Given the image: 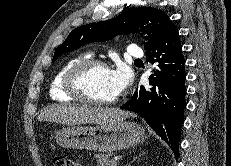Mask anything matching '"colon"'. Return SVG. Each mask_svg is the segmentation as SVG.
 I'll return each instance as SVG.
<instances>
[{"label": "colon", "mask_w": 231, "mask_h": 166, "mask_svg": "<svg viewBox=\"0 0 231 166\" xmlns=\"http://www.w3.org/2000/svg\"><path fill=\"white\" fill-rule=\"evenodd\" d=\"M54 166H81V165L71 159L56 157L54 159Z\"/></svg>", "instance_id": "colon-1"}]
</instances>
